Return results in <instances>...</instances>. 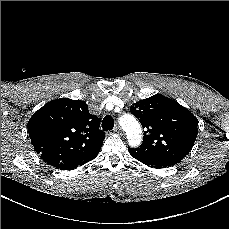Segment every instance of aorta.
<instances>
[{
	"instance_id": "762f6f07",
	"label": "aorta",
	"mask_w": 229,
	"mask_h": 229,
	"mask_svg": "<svg viewBox=\"0 0 229 229\" xmlns=\"http://www.w3.org/2000/svg\"><path fill=\"white\" fill-rule=\"evenodd\" d=\"M120 124L126 128L129 144L133 147L140 145L142 140V131L137 120L133 116L125 114L120 118Z\"/></svg>"
}]
</instances>
